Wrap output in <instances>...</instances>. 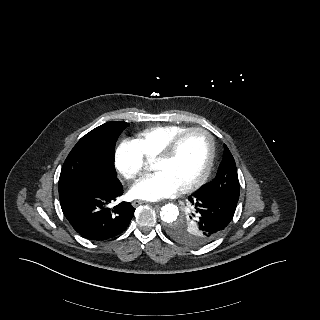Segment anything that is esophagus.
Instances as JSON below:
<instances>
[{"label": "esophagus", "instance_id": "esophagus-1", "mask_svg": "<svg viewBox=\"0 0 320 320\" xmlns=\"http://www.w3.org/2000/svg\"><path fill=\"white\" fill-rule=\"evenodd\" d=\"M144 203H147V202H146V201H143V200H134V201L132 202V205H133L134 207H137V206L142 205V204H144Z\"/></svg>", "mask_w": 320, "mask_h": 320}]
</instances>
